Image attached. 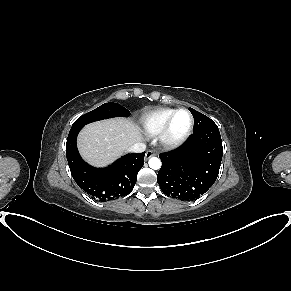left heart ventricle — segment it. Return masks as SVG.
I'll use <instances>...</instances> for the list:
<instances>
[{
  "instance_id": "obj_1",
  "label": "left heart ventricle",
  "mask_w": 291,
  "mask_h": 291,
  "mask_svg": "<svg viewBox=\"0 0 291 291\" xmlns=\"http://www.w3.org/2000/svg\"><path fill=\"white\" fill-rule=\"evenodd\" d=\"M190 122L189 115L186 112H180L173 120L172 132L174 135H179L186 130Z\"/></svg>"
}]
</instances>
